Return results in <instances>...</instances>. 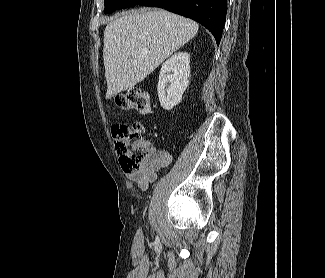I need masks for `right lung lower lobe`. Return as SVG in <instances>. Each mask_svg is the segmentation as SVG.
I'll return each instance as SVG.
<instances>
[{
    "instance_id": "obj_1",
    "label": "right lung lower lobe",
    "mask_w": 325,
    "mask_h": 278,
    "mask_svg": "<svg viewBox=\"0 0 325 278\" xmlns=\"http://www.w3.org/2000/svg\"><path fill=\"white\" fill-rule=\"evenodd\" d=\"M138 5L160 7L205 26L219 45L226 21L227 0H138Z\"/></svg>"
}]
</instances>
